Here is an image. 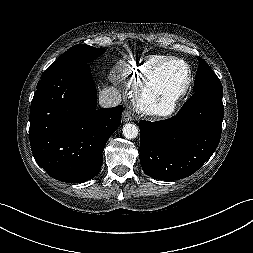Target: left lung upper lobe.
Returning a JSON list of instances; mask_svg holds the SVG:
<instances>
[{"label": "left lung upper lobe", "mask_w": 253, "mask_h": 253, "mask_svg": "<svg viewBox=\"0 0 253 253\" xmlns=\"http://www.w3.org/2000/svg\"><path fill=\"white\" fill-rule=\"evenodd\" d=\"M199 60V67L196 73L194 82V91L203 89H212L223 91L222 84L216 74L210 69L205 60L197 57Z\"/></svg>", "instance_id": "left-lung-upper-lobe-1"}]
</instances>
